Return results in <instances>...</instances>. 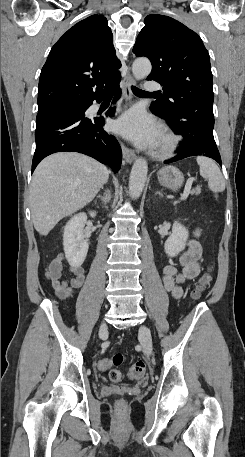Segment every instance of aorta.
I'll use <instances>...</instances> for the list:
<instances>
[{
	"mask_svg": "<svg viewBox=\"0 0 245 457\" xmlns=\"http://www.w3.org/2000/svg\"><path fill=\"white\" fill-rule=\"evenodd\" d=\"M152 66L147 58H138L133 62L132 72L137 80L146 78L151 72ZM148 165L145 159L138 158L132 167L129 178V193L133 199H137L145 186Z\"/></svg>",
	"mask_w": 245,
	"mask_h": 457,
	"instance_id": "762f6f07",
	"label": "aorta"
}]
</instances>
